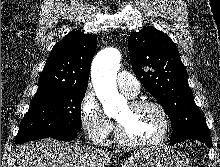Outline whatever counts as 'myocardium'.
<instances>
[{"mask_svg": "<svg viewBox=\"0 0 220 167\" xmlns=\"http://www.w3.org/2000/svg\"><path fill=\"white\" fill-rule=\"evenodd\" d=\"M129 105L132 108H142V107H147V106L155 108L160 113V115L162 117L163 130L159 136H157L153 139L133 140L125 134L122 126L117 121L116 132H115V138H116L117 142L123 146L131 147V148L154 147V146H157V145L163 143L167 139V137L171 131V120H170L169 114L166 111V109L164 108V106L157 101L149 100V99L132 100L129 103Z\"/></svg>", "mask_w": 220, "mask_h": 167, "instance_id": "myocardium-1", "label": "myocardium"}]
</instances>
